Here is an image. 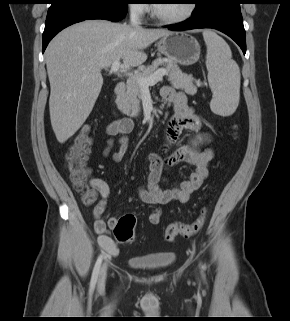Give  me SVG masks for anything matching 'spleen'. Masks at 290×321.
Instances as JSON below:
<instances>
[{
  "mask_svg": "<svg viewBox=\"0 0 290 321\" xmlns=\"http://www.w3.org/2000/svg\"><path fill=\"white\" fill-rule=\"evenodd\" d=\"M207 47L208 82L213 92L212 112L229 116L235 112L240 99V70L224 39L211 30L203 32Z\"/></svg>",
  "mask_w": 290,
  "mask_h": 321,
  "instance_id": "spleen-1",
  "label": "spleen"
}]
</instances>
